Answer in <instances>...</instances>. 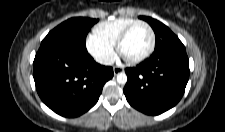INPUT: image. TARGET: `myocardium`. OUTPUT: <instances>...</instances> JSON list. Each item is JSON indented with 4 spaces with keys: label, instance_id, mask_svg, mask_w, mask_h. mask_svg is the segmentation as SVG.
Segmentation results:
<instances>
[{
    "label": "myocardium",
    "instance_id": "myocardium-1",
    "mask_svg": "<svg viewBox=\"0 0 225 132\" xmlns=\"http://www.w3.org/2000/svg\"><path fill=\"white\" fill-rule=\"evenodd\" d=\"M139 25H144L145 27H147V29L149 30L150 33V44L148 49L146 50V52L144 54H142L141 56L134 58V59H126L123 58L121 55V47L124 43V41L127 39V37L129 36V34L131 33V31L139 26ZM155 42H156V37H155V32L152 28V26L145 22V21H135L134 23L130 24L118 37L115 47L117 50V53L125 60L126 63L128 64H138L141 63L143 61H145L148 57H150V55L153 53L154 48H155Z\"/></svg>",
    "mask_w": 225,
    "mask_h": 132
}]
</instances>
